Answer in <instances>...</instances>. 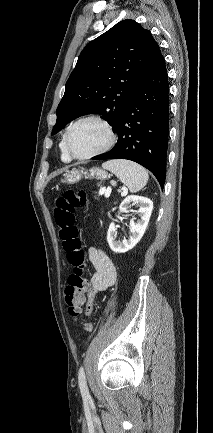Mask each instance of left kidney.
<instances>
[{"instance_id": "obj_1", "label": "left kidney", "mask_w": 213, "mask_h": 433, "mask_svg": "<svg viewBox=\"0 0 213 433\" xmlns=\"http://www.w3.org/2000/svg\"><path fill=\"white\" fill-rule=\"evenodd\" d=\"M131 203L139 206L137 212L139 213L140 219L137 222H134V220L131 219L129 229L132 235L129 239L124 238L121 242L116 240L117 229L113 222L110 224L107 232L108 244L111 250L116 253H125L129 251L141 240L151 217L153 202L149 198L136 195L127 196L121 202L119 212H128L127 206Z\"/></svg>"}]
</instances>
